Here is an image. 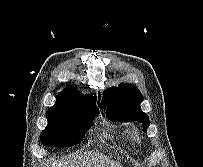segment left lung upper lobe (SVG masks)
I'll return each instance as SVG.
<instances>
[{"instance_id":"obj_1","label":"left lung upper lobe","mask_w":203,"mask_h":167,"mask_svg":"<svg viewBox=\"0 0 203 167\" xmlns=\"http://www.w3.org/2000/svg\"><path fill=\"white\" fill-rule=\"evenodd\" d=\"M101 94L98 97L100 102ZM142 94L139 89L127 83L118 87L108 88L103 93L100 107L107 109L108 117L113 121H137L142 123L143 131L147 132L149 117L141 110Z\"/></svg>"}]
</instances>
